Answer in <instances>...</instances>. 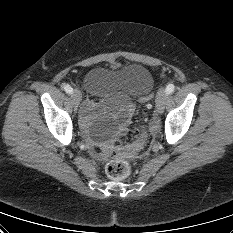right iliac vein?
Wrapping results in <instances>:
<instances>
[{
	"label": "right iliac vein",
	"mask_w": 233,
	"mask_h": 233,
	"mask_svg": "<svg viewBox=\"0 0 233 233\" xmlns=\"http://www.w3.org/2000/svg\"><path fill=\"white\" fill-rule=\"evenodd\" d=\"M72 100L74 104V109L77 111V108L82 100V94L79 90L75 89L72 93Z\"/></svg>",
	"instance_id": "63e3f726"
}]
</instances>
